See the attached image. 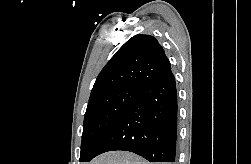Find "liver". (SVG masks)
Segmentation results:
<instances>
[{"instance_id": "obj_1", "label": "liver", "mask_w": 251, "mask_h": 164, "mask_svg": "<svg viewBox=\"0 0 251 164\" xmlns=\"http://www.w3.org/2000/svg\"><path fill=\"white\" fill-rule=\"evenodd\" d=\"M90 164H150V163L130 152L113 151L98 156Z\"/></svg>"}]
</instances>
